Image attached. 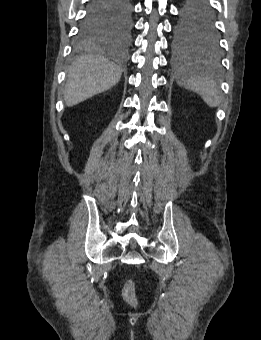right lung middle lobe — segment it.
<instances>
[{"instance_id":"right-lung-middle-lobe-1","label":"right lung middle lobe","mask_w":261,"mask_h":340,"mask_svg":"<svg viewBox=\"0 0 261 340\" xmlns=\"http://www.w3.org/2000/svg\"><path fill=\"white\" fill-rule=\"evenodd\" d=\"M132 27L131 4L115 16L97 14L84 18L77 36V45L84 46L109 39L127 40Z\"/></svg>"}]
</instances>
